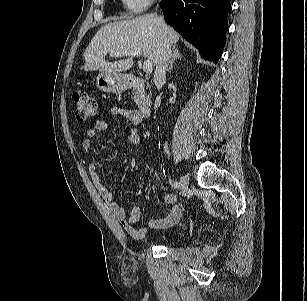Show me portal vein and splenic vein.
Segmentation results:
<instances>
[{"mask_svg": "<svg viewBox=\"0 0 307 301\" xmlns=\"http://www.w3.org/2000/svg\"><path fill=\"white\" fill-rule=\"evenodd\" d=\"M111 55H113L115 57L127 56V55L141 56L142 52H141V50H134V51H128V52H113ZM143 71L145 73H147V74H149V73H151L153 71V63H152V61L147 59V60H145L143 62Z\"/></svg>", "mask_w": 307, "mask_h": 301, "instance_id": "portal-vein-and-splenic-vein-1", "label": "portal vein and splenic vein"}]
</instances>
